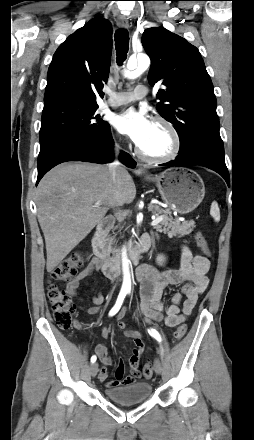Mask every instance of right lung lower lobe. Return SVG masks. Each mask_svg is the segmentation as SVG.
I'll return each mask as SVG.
<instances>
[{"label":"right lung lower lobe","mask_w":254,"mask_h":440,"mask_svg":"<svg viewBox=\"0 0 254 440\" xmlns=\"http://www.w3.org/2000/svg\"><path fill=\"white\" fill-rule=\"evenodd\" d=\"M113 140L110 132V127L104 135L99 138L86 140L77 145L62 146L53 151L47 156L44 161L38 165L37 183L41 180L46 172L57 164L67 161H85L92 163H109L113 159ZM120 161L127 167L134 168L136 162L132 157L121 151Z\"/></svg>","instance_id":"obj_1"}]
</instances>
